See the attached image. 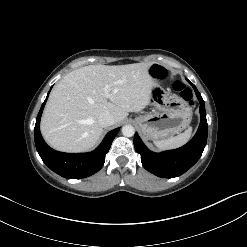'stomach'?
<instances>
[{"label":"stomach","mask_w":247,"mask_h":247,"mask_svg":"<svg viewBox=\"0 0 247 247\" xmlns=\"http://www.w3.org/2000/svg\"><path fill=\"white\" fill-rule=\"evenodd\" d=\"M153 112L136 118V123L147 139H165L186 129L192 119V109L178 95L171 94L159 84L151 90Z\"/></svg>","instance_id":"obj_1"}]
</instances>
